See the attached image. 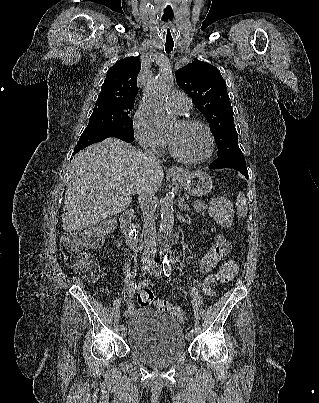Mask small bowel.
Masks as SVG:
<instances>
[{
  "instance_id": "small-bowel-1",
  "label": "small bowel",
  "mask_w": 319,
  "mask_h": 403,
  "mask_svg": "<svg viewBox=\"0 0 319 403\" xmlns=\"http://www.w3.org/2000/svg\"><path fill=\"white\" fill-rule=\"evenodd\" d=\"M230 252V243L223 235H217L215 237V243L212 245L208 251L203 255L200 260L199 267L200 270L206 274L204 280L200 281L196 278H193L194 282L197 286L203 291V293L208 297L214 296V291L212 289V284L216 281L215 275L211 272L217 267L219 262ZM125 270L128 278H130L129 273V265L125 266ZM153 285L150 281H144V285L141 287L151 286ZM127 312L128 314L132 309V304L127 301Z\"/></svg>"
}]
</instances>
